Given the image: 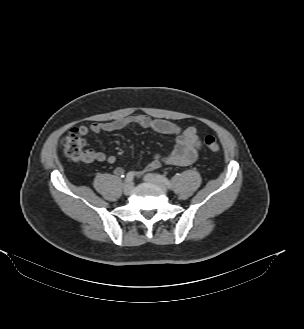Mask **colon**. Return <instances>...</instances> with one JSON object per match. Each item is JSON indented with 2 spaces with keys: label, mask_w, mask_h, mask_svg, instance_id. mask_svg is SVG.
<instances>
[{
  "label": "colon",
  "mask_w": 304,
  "mask_h": 329,
  "mask_svg": "<svg viewBox=\"0 0 304 329\" xmlns=\"http://www.w3.org/2000/svg\"><path fill=\"white\" fill-rule=\"evenodd\" d=\"M204 144L213 153L220 151V146L213 136H206ZM85 141L78 128H71L63 139V148L65 155L73 160L79 161L84 154Z\"/></svg>",
  "instance_id": "colon-1"
}]
</instances>
